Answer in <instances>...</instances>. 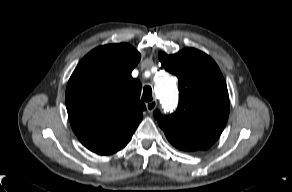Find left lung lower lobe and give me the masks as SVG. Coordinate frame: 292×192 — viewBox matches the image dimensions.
Here are the masks:
<instances>
[{"instance_id":"1","label":"left lung lower lobe","mask_w":292,"mask_h":192,"mask_svg":"<svg viewBox=\"0 0 292 192\" xmlns=\"http://www.w3.org/2000/svg\"><path fill=\"white\" fill-rule=\"evenodd\" d=\"M178 149L184 150V151H194L195 149L189 148V147H183V146H175Z\"/></svg>"}]
</instances>
